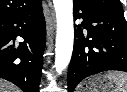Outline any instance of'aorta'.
<instances>
[{
    "instance_id": "aorta-1",
    "label": "aorta",
    "mask_w": 127,
    "mask_h": 92,
    "mask_svg": "<svg viewBox=\"0 0 127 92\" xmlns=\"http://www.w3.org/2000/svg\"><path fill=\"white\" fill-rule=\"evenodd\" d=\"M53 3L57 22L55 68L61 74L68 67L73 51V0H53Z\"/></svg>"
}]
</instances>
